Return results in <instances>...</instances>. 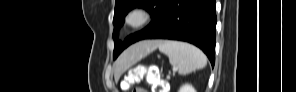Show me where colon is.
Segmentation results:
<instances>
[{
  "instance_id": "1",
  "label": "colon",
  "mask_w": 296,
  "mask_h": 92,
  "mask_svg": "<svg viewBox=\"0 0 296 92\" xmlns=\"http://www.w3.org/2000/svg\"><path fill=\"white\" fill-rule=\"evenodd\" d=\"M146 79V81L153 87L154 92H162L164 87V82L159 76V71L156 66L149 67H135L126 76L124 80V85L129 89L137 80ZM132 92H145L143 88H133Z\"/></svg>"
}]
</instances>
